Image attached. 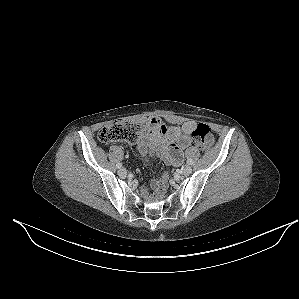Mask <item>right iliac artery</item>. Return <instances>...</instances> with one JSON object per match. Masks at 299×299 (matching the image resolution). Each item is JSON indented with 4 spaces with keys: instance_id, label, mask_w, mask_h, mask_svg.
<instances>
[{
    "instance_id": "82829eb1",
    "label": "right iliac artery",
    "mask_w": 299,
    "mask_h": 299,
    "mask_svg": "<svg viewBox=\"0 0 299 299\" xmlns=\"http://www.w3.org/2000/svg\"><path fill=\"white\" fill-rule=\"evenodd\" d=\"M116 166H117L118 169H120L122 167V164L118 163Z\"/></svg>"
}]
</instances>
